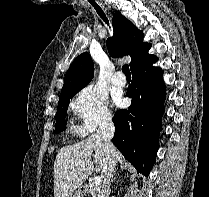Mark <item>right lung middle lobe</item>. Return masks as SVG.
I'll return each mask as SVG.
<instances>
[{
	"instance_id": "right-lung-middle-lobe-1",
	"label": "right lung middle lobe",
	"mask_w": 209,
	"mask_h": 197,
	"mask_svg": "<svg viewBox=\"0 0 209 197\" xmlns=\"http://www.w3.org/2000/svg\"><path fill=\"white\" fill-rule=\"evenodd\" d=\"M81 88H75L67 91L62 96L59 97L57 113H56V124H55V132L59 133L66 129V121L65 116L69 106L70 99L79 92Z\"/></svg>"
}]
</instances>
